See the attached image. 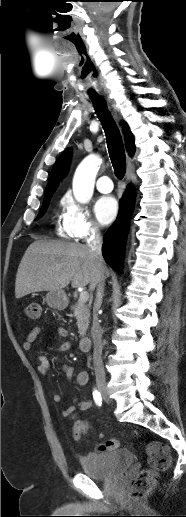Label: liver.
Wrapping results in <instances>:
<instances>
[{
  "instance_id": "6515ba94",
  "label": "liver",
  "mask_w": 186,
  "mask_h": 517,
  "mask_svg": "<svg viewBox=\"0 0 186 517\" xmlns=\"http://www.w3.org/2000/svg\"><path fill=\"white\" fill-rule=\"evenodd\" d=\"M107 277L109 270L100 269L89 247L59 241L33 242L26 250L16 274L15 297L30 293L89 285L92 292L100 275Z\"/></svg>"
}]
</instances>
